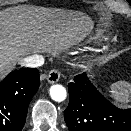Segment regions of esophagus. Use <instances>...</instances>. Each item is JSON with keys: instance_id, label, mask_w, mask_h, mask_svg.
Segmentation results:
<instances>
[{"instance_id": "34e87169", "label": "esophagus", "mask_w": 131, "mask_h": 131, "mask_svg": "<svg viewBox=\"0 0 131 131\" xmlns=\"http://www.w3.org/2000/svg\"><path fill=\"white\" fill-rule=\"evenodd\" d=\"M60 79V72L57 69H53L49 72L47 80L50 84L58 82Z\"/></svg>"}]
</instances>
